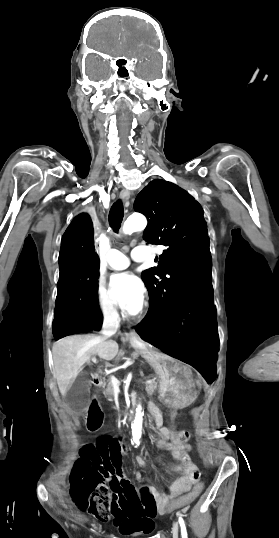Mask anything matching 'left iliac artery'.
<instances>
[{"label":"left iliac artery","instance_id":"obj_1","mask_svg":"<svg viewBox=\"0 0 279 538\" xmlns=\"http://www.w3.org/2000/svg\"><path fill=\"white\" fill-rule=\"evenodd\" d=\"M178 516H179V524L181 527V536L182 538H188L184 519L182 518L180 514H178Z\"/></svg>","mask_w":279,"mask_h":538}]
</instances>
